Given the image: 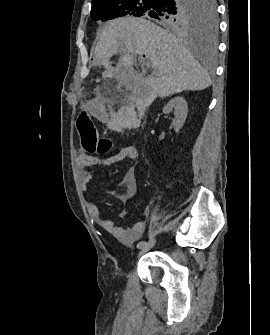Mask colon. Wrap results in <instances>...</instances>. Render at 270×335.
<instances>
[{
  "instance_id": "colon-1",
  "label": "colon",
  "mask_w": 270,
  "mask_h": 335,
  "mask_svg": "<svg viewBox=\"0 0 270 335\" xmlns=\"http://www.w3.org/2000/svg\"><path fill=\"white\" fill-rule=\"evenodd\" d=\"M79 116H76V123H80V132L83 136V148L90 155L102 156L110 152L114 144L107 138L103 137L96 130L93 123V116H86V110H79Z\"/></svg>"
}]
</instances>
